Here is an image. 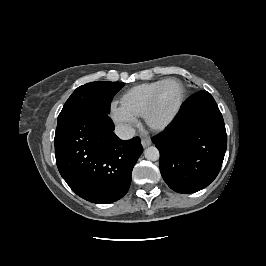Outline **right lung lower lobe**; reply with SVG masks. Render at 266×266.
Returning <instances> with one entry per match:
<instances>
[{
  "mask_svg": "<svg viewBox=\"0 0 266 266\" xmlns=\"http://www.w3.org/2000/svg\"><path fill=\"white\" fill-rule=\"evenodd\" d=\"M113 131L107 113L90 108L55 134L61 176L78 196L93 203H112L127 193L143 151L139 137L124 141Z\"/></svg>",
  "mask_w": 266,
  "mask_h": 266,
  "instance_id": "right-lung-lower-lobe-1",
  "label": "right lung lower lobe"
}]
</instances>
